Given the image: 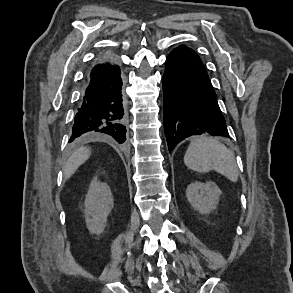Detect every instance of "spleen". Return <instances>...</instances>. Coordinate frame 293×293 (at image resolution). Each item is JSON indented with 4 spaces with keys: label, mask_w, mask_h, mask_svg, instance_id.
<instances>
[{
    "label": "spleen",
    "mask_w": 293,
    "mask_h": 293,
    "mask_svg": "<svg viewBox=\"0 0 293 293\" xmlns=\"http://www.w3.org/2000/svg\"><path fill=\"white\" fill-rule=\"evenodd\" d=\"M185 165L197 172L215 170L232 182L238 180L235 156L215 138L201 136L191 141L185 156Z\"/></svg>",
    "instance_id": "obj_1"
}]
</instances>
